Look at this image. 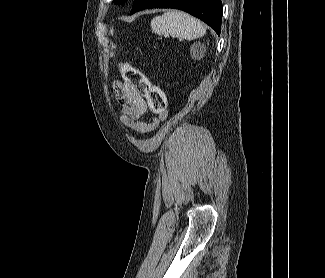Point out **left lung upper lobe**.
<instances>
[{
  "mask_svg": "<svg viewBox=\"0 0 325 278\" xmlns=\"http://www.w3.org/2000/svg\"><path fill=\"white\" fill-rule=\"evenodd\" d=\"M126 0H113L114 4H122L124 3Z\"/></svg>",
  "mask_w": 325,
  "mask_h": 278,
  "instance_id": "5c2ea615",
  "label": "left lung upper lobe"
}]
</instances>
